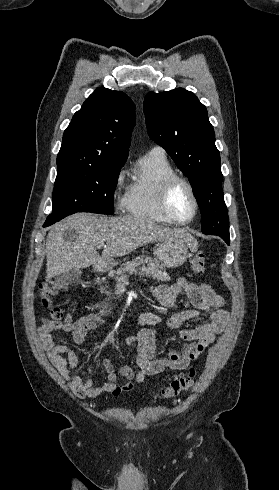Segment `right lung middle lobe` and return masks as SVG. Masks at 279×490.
Here are the masks:
<instances>
[{"instance_id":"right-lung-middle-lobe-1","label":"right lung middle lobe","mask_w":279,"mask_h":490,"mask_svg":"<svg viewBox=\"0 0 279 490\" xmlns=\"http://www.w3.org/2000/svg\"><path fill=\"white\" fill-rule=\"evenodd\" d=\"M124 164L57 167L52 213L45 223L51 225L76 212L113 214L114 191Z\"/></svg>"}]
</instances>
